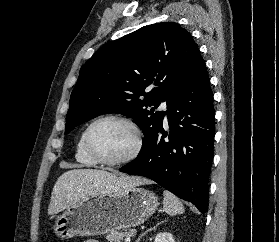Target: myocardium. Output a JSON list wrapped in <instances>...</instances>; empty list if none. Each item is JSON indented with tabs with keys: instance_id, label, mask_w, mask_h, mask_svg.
I'll list each match as a JSON object with an SVG mask.
<instances>
[{
	"instance_id": "1",
	"label": "myocardium",
	"mask_w": 279,
	"mask_h": 242,
	"mask_svg": "<svg viewBox=\"0 0 279 242\" xmlns=\"http://www.w3.org/2000/svg\"><path fill=\"white\" fill-rule=\"evenodd\" d=\"M104 121L120 122L127 125L132 130L134 134V146L130 151V153L125 157L117 160H108L98 155L94 150L92 145V131L96 125ZM85 148L89 156L98 164H102L106 166L125 165L134 161L141 153L143 148V132L140 126L137 124V122L130 117H126L122 115H114V114L104 115L92 121L90 125L87 127L85 131Z\"/></svg>"
}]
</instances>
